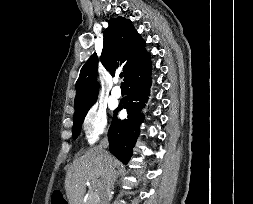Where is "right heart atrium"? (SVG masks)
<instances>
[{"instance_id": "obj_1", "label": "right heart atrium", "mask_w": 253, "mask_h": 204, "mask_svg": "<svg viewBox=\"0 0 253 204\" xmlns=\"http://www.w3.org/2000/svg\"><path fill=\"white\" fill-rule=\"evenodd\" d=\"M82 129L87 143H96L108 131L106 109L99 105L91 106L83 118Z\"/></svg>"}]
</instances>
